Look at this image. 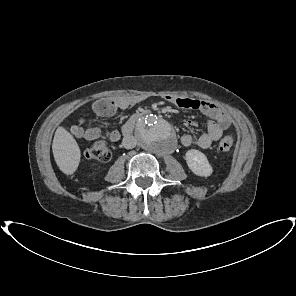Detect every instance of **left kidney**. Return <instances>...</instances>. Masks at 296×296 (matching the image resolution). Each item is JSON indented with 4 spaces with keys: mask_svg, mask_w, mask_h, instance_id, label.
<instances>
[{
    "mask_svg": "<svg viewBox=\"0 0 296 296\" xmlns=\"http://www.w3.org/2000/svg\"><path fill=\"white\" fill-rule=\"evenodd\" d=\"M186 163L189 169L197 176L208 177L213 169L204 153L191 149L185 154Z\"/></svg>",
    "mask_w": 296,
    "mask_h": 296,
    "instance_id": "5707ae66",
    "label": "left kidney"
}]
</instances>
